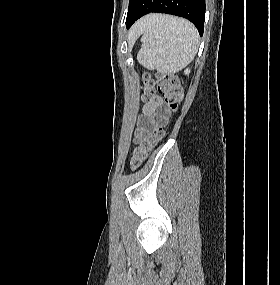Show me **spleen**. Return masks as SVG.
<instances>
[{
    "label": "spleen",
    "mask_w": 280,
    "mask_h": 285,
    "mask_svg": "<svg viewBox=\"0 0 280 285\" xmlns=\"http://www.w3.org/2000/svg\"><path fill=\"white\" fill-rule=\"evenodd\" d=\"M142 48L137 59L149 70L175 73L196 55L199 45L197 29L189 21L169 15H151L138 29Z\"/></svg>",
    "instance_id": "obj_1"
}]
</instances>
